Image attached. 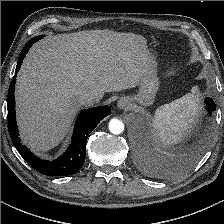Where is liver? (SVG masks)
<instances>
[{
  "label": "liver",
  "instance_id": "1",
  "mask_svg": "<svg viewBox=\"0 0 224 224\" xmlns=\"http://www.w3.org/2000/svg\"><path fill=\"white\" fill-rule=\"evenodd\" d=\"M151 53L133 33L80 31L37 42L17 76L16 112L23 142L45 152L66 136L81 104L79 97L138 85Z\"/></svg>",
  "mask_w": 224,
  "mask_h": 224
}]
</instances>
